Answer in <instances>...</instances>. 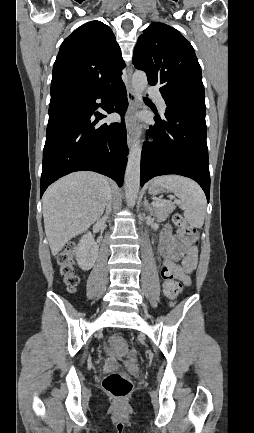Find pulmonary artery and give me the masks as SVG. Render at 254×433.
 <instances>
[{"label": "pulmonary artery", "instance_id": "1", "mask_svg": "<svg viewBox=\"0 0 254 433\" xmlns=\"http://www.w3.org/2000/svg\"><path fill=\"white\" fill-rule=\"evenodd\" d=\"M148 93H149V95H151L152 97H154L156 99L158 106H159V109L161 111H163L165 109L166 104H165V101H164L162 95L159 92V89L158 88H150L148 90Z\"/></svg>", "mask_w": 254, "mask_h": 433}]
</instances>
